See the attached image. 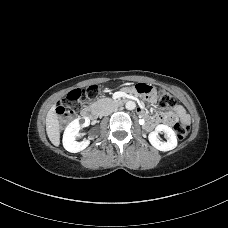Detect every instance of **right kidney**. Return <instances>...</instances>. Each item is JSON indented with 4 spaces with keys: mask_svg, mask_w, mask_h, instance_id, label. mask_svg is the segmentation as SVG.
<instances>
[{
    "mask_svg": "<svg viewBox=\"0 0 228 228\" xmlns=\"http://www.w3.org/2000/svg\"><path fill=\"white\" fill-rule=\"evenodd\" d=\"M90 125V119L84 117V122L80 124V118L73 120L65 129L63 134V146L64 148L71 152L77 153L84 150L89 145V140H84L77 142L75 137L79 135V130L82 127H87Z\"/></svg>",
    "mask_w": 228,
    "mask_h": 228,
    "instance_id": "obj_1",
    "label": "right kidney"
}]
</instances>
